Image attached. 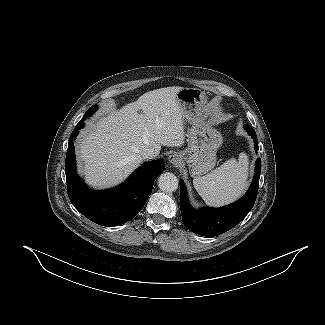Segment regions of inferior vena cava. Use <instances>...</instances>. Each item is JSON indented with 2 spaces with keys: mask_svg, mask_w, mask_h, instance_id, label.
Returning <instances> with one entry per match:
<instances>
[{
  "mask_svg": "<svg viewBox=\"0 0 325 325\" xmlns=\"http://www.w3.org/2000/svg\"><path fill=\"white\" fill-rule=\"evenodd\" d=\"M140 154L143 159L147 160L153 159L155 156H157V153L152 148L143 149Z\"/></svg>",
  "mask_w": 325,
  "mask_h": 325,
  "instance_id": "inferior-vena-cava-1",
  "label": "inferior vena cava"
}]
</instances>
